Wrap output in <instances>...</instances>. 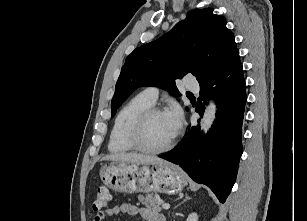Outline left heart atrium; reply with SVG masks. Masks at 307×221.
Wrapping results in <instances>:
<instances>
[{"mask_svg":"<svg viewBox=\"0 0 307 221\" xmlns=\"http://www.w3.org/2000/svg\"><path fill=\"white\" fill-rule=\"evenodd\" d=\"M167 115L170 119V122L172 124L173 130L174 132H178V130L181 127L182 124V112L179 109V107L174 106L173 108H171L168 112Z\"/></svg>","mask_w":307,"mask_h":221,"instance_id":"39dd6f15","label":"left heart atrium"}]
</instances>
